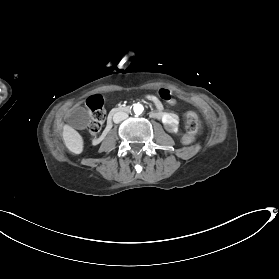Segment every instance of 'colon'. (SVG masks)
Segmentation results:
<instances>
[{
  "label": "colon",
  "mask_w": 279,
  "mask_h": 279,
  "mask_svg": "<svg viewBox=\"0 0 279 279\" xmlns=\"http://www.w3.org/2000/svg\"><path fill=\"white\" fill-rule=\"evenodd\" d=\"M105 121V113L102 108L96 109L91 116L88 132L92 135H95L100 132L102 129L103 123ZM185 125L188 132V135L184 138L186 143H190L193 140V136L197 134L200 130V120L198 115L193 112H187L185 115Z\"/></svg>",
  "instance_id": "colon-1"
}]
</instances>
